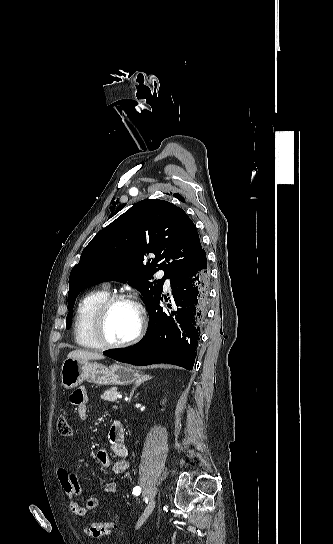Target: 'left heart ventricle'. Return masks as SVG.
I'll list each match as a JSON object with an SVG mask.
<instances>
[{
	"label": "left heart ventricle",
	"mask_w": 333,
	"mask_h": 544,
	"mask_svg": "<svg viewBox=\"0 0 333 544\" xmlns=\"http://www.w3.org/2000/svg\"><path fill=\"white\" fill-rule=\"evenodd\" d=\"M139 316L135 307L126 302L115 304L109 311L105 321V336L110 342H122L136 332Z\"/></svg>",
	"instance_id": "obj_1"
}]
</instances>
